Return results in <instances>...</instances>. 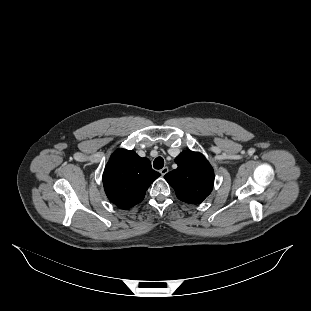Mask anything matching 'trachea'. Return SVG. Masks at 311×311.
I'll use <instances>...</instances> for the list:
<instances>
[{
    "instance_id": "obj_1",
    "label": "trachea",
    "mask_w": 311,
    "mask_h": 311,
    "mask_svg": "<svg viewBox=\"0 0 311 311\" xmlns=\"http://www.w3.org/2000/svg\"><path fill=\"white\" fill-rule=\"evenodd\" d=\"M164 166V159L162 157H157L153 162V167L155 169H162Z\"/></svg>"
}]
</instances>
